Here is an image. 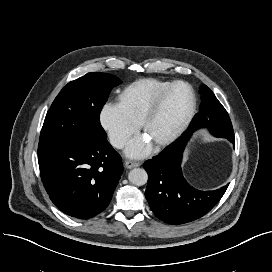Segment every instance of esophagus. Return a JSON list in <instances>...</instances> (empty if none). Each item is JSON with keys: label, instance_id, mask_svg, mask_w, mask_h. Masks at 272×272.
I'll list each match as a JSON object with an SVG mask.
<instances>
[{"label": "esophagus", "instance_id": "34e87169", "mask_svg": "<svg viewBox=\"0 0 272 272\" xmlns=\"http://www.w3.org/2000/svg\"><path fill=\"white\" fill-rule=\"evenodd\" d=\"M140 165H141V163L137 162V161H130V160H128V161L125 162V166L128 169L139 167Z\"/></svg>", "mask_w": 272, "mask_h": 272}]
</instances>
